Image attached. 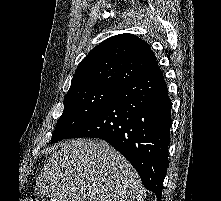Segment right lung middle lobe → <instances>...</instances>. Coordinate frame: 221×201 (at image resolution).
<instances>
[{
    "instance_id": "1",
    "label": "right lung middle lobe",
    "mask_w": 221,
    "mask_h": 201,
    "mask_svg": "<svg viewBox=\"0 0 221 201\" xmlns=\"http://www.w3.org/2000/svg\"><path fill=\"white\" fill-rule=\"evenodd\" d=\"M119 90L110 87H87L69 91L51 144L66 139L75 129L100 110Z\"/></svg>"
}]
</instances>
